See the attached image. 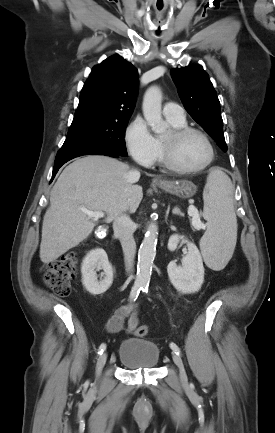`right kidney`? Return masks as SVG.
<instances>
[{"label":"right kidney","instance_id":"right-kidney-1","mask_svg":"<svg viewBox=\"0 0 275 433\" xmlns=\"http://www.w3.org/2000/svg\"><path fill=\"white\" fill-rule=\"evenodd\" d=\"M103 269V279L97 280L96 271ZM82 283L85 289L92 295L103 294L113 282V270L108 261V256L103 249L91 250L83 259Z\"/></svg>","mask_w":275,"mask_h":433}]
</instances>
